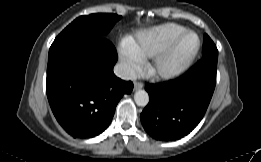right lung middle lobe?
Listing matches in <instances>:
<instances>
[{
	"mask_svg": "<svg viewBox=\"0 0 261 162\" xmlns=\"http://www.w3.org/2000/svg\"><path fill=\"white\" fill-rule=\"evenodd\" d=\"M119 19L121 16L112 13L80 16L69 24L55 41L83 36H104Z\"/></svg>",
	"mask_w": 261,
	"mask_h": 162,
	"instance_id": "right-lung-middle-lobe-1",
	"label": "right lung middle lobe"
}]
</instances>
